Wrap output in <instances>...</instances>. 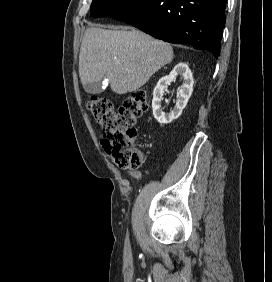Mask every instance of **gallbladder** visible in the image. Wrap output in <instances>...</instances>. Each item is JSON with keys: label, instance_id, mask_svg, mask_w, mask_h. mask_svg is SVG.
Masks as SVG:
<instances>
[{"label": "gallbladder", "instance_id": "bac80fb5", "mask_svg": "<svg viewBox=\"0 0 272 282\" xmlns=\"http://www.w3.org/2000/svg\"><path fill=\"white\" fill-rule=\"evenodd\" d=\"M84 90L90 94H99L104 91L101 81L84 85Z\"/></svg>", "mask_w": 272, "mask_h": 282}]
</instances>
